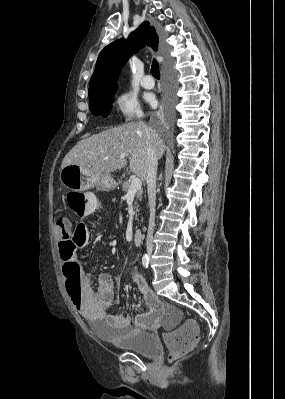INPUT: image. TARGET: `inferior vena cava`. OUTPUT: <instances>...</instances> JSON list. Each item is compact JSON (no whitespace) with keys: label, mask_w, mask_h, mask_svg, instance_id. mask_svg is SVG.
<instances>
[{"label":"inferior vena cava","mask_w":285,"mask_h":399,"mask_svg":"<svg viewBox=\"0 0 285 399\" xmlns=\"http://www.w3.org/2000/svg\"><path fill=\"white\" fill-rule=\"evenodd\" d=\"M155 141L150 139L148 142L147 152V169L146 182L148 192V205L150 210L149 226L146 239V247L148 252L153 249V231L155 227V211H156V173L158 166V154L155 147Z\"/></svg>","instance_id":"602c4592"}]
</instances>
